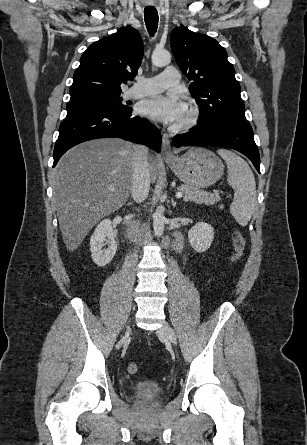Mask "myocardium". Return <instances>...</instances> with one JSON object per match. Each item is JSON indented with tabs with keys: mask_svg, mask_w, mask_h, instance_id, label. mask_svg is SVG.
<instances>
[{
	"mask_svg": "<svg viewBox=\"0 0 307 445\" xmlns=\"http://www.w3.org/2000/svg\"><path fill=\"white\" fill-rule=\"evenodd\" d=\"M202 118V110L196 103H191L188 107L186 117L179 121L173 130L182 132L194 127Z\"/></svg>",
	"mask_w": 307,
	"mask_h": 445,
	"instance_id": "f54148a6",
	"label": "myocardium"
}]
</instances>
